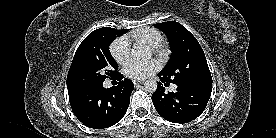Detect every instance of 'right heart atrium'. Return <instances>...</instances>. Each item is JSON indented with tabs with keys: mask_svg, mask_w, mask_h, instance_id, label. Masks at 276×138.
<instances>
[{
	"mask_svg": "<svg viewBox=\"0 0 276 138\" xmlns=\"http://www.w3.org/2000/svg\"><path fill=\"white\" fill-rule=\"evenodd\" d=\"M109 51L111 56L117 63H127L130 56V46L128 40L124 37L117 38L110 45Z\"/></svg>",
	"mask_w": 276,
	"mask_h": 138,
	"instance_id": "right-heart-atrium-1",
	"label": "right heart atrium"
}]
</instances>
